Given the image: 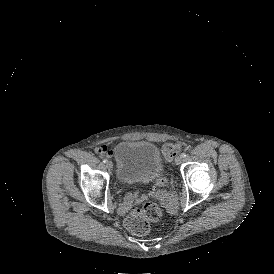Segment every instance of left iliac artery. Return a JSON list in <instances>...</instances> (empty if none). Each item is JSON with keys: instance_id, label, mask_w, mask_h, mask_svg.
Instances as JSON below:
<instances>
[{"instance_id": "left-iliac-artery-1", "label": "left iliac artery", "mask_w": 274, "mask_h": 274, "mask_svg": "<svg viewBox=\"0 0 274 274\" xmlns=\"http://www.w3.org/2000/svg\"><path fill=\"white\" fill-rule=\"evenodd\" d=\"M181 157H182V158L186 157V153L183 152V153L181 154Z\"/></svg>"}]
</instances>
